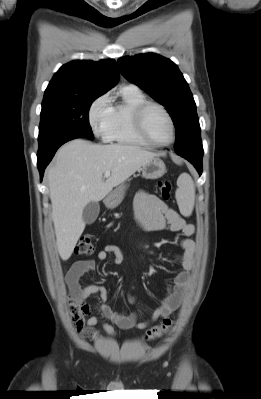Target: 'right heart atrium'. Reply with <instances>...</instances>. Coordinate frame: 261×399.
<instances>
[{"label": "right heart atrium", "mask_w": 261, "mask_h": 399, "mask_svg": "<svg viewBox=\"0 0 261 399\" xmlns=\"http://www.w3.org/2000/svg\"><path fill=\"white\" fill-rule=\"evenodd\" d=\"M88 119L94 135L107 139L111 123V99L108 94H103L92 103Z\"/></svg>", "instance_id": "right-heart-atrium-1"}]
</instances>
